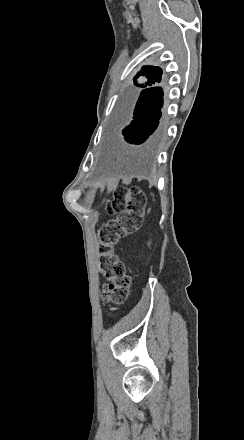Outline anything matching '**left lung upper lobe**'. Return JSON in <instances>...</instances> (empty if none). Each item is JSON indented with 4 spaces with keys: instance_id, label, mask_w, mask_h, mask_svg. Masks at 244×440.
Returning a JSON list of instances; mask_svg holds the SVG:
<instances>
[{
    "instance_id": "1",
    "label": "left lung upper lobe",
    "mask_w": 244,
    "mask_h": 440,
    "mask_svg": "<svg viewBox=\"0 0 244 440\" xmlns=\"http://www.w3.org/2000/svg\"><path fill=\"white\" fill-rule=\"evenodd\" d=\"M143 76L144 82L138 84L137 79ZM162 70L156 66H144L141 71H139L136 76L133 78L134 85L137 87H145L147 85L155 84L156 82L161 81Z\"/></svg>"
}]
</instances>
